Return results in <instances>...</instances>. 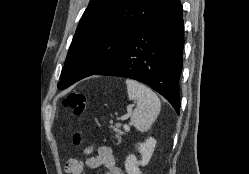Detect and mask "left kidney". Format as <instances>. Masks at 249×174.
<instances>
[{"mask_svg": "<svg viewBox=\"0 0 249 174\" xmlns=\"http://www.w3.org/2000/svg\"><path fill=\"white\" fill-rule=\"evenodd\" d=\"M156 145V140L152 137L148 138L144 143L139 144V152L142 156L140 161L134 155H129L125 161V169L128 174H141L139 165L146 166L152 156Z\"/></svg>", "mask_w": 249, "mask_h": 174, "instance_id": "obj_1", "label": "left kidney"}]
</instances>
